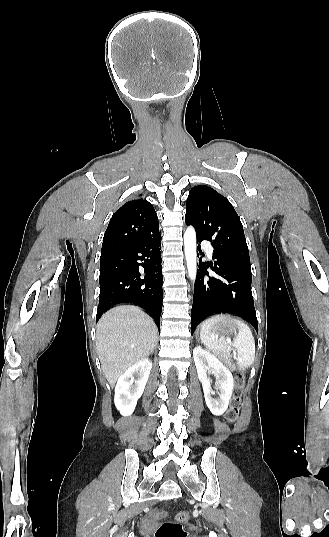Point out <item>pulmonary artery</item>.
<instances>
[{
    "mask_svg": "<svg viewBox=\"0 0 329 537\" xmlns=\"http://www.w3.org/2000/svg\"><path fill=\"white\" fill-rule=\"evenodd\" d=\"M202 244H203L204 248L206 249L207 253L212 255V253H213L212 246L207 241H203Z\"/></svg>",
    "mask_w": 329,
    "mask_h": 537,
    "instance_id": "pulmonary-artery-1",
    "label": "pulmonary artery"
}]
</instances>
